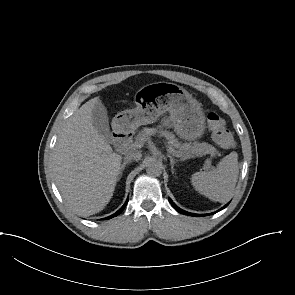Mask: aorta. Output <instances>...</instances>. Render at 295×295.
I'll return each mask as SVG.
<instances>
[{
  "label": "aorta",
  "instance_id": "762f6f07",
  "mask_svg": "<svg viewBox=\"0 0 295 295\" xmlns=\"http://www.w3.org/2000/svg\"><path fill=\"white\" fill-rule=\"evenodd\" d=\"M146 172L149 175L159 176L162 173V163L156 159H151L146 164Z\"/></svg>",
  "mask_w": 295,
  "mask_h": 295
}]
</instances>
